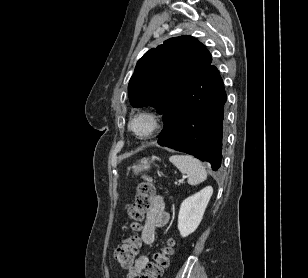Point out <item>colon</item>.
Wrapping results in <instances>:
<instances>
[{
  "label": "colon",
  "instance_id": "colon-1",
  "mask_svg": "<svg viewBox=\"0 0 308 278\" xmlns=\"http://www.w3.org/2000/svg\"><path fill=\"white\" fill-rule=\"evenodd\" d=\"M155 195L154 185L149 177L144 176L137 188L134 204L128 210L130 218V228L136 232L139 230V222L145 213L150 210ZM174 242L168 239L160 252L154 256V261L149 263L140 276L141 278H161L164 270L169 265L170 256L173 253ZM140 240L136 234H132L124 239L123 243L115 250L114 259L122 268H131L134 264Z\"/></svg>",
  "mask_w": 308,
  "mask_h": 278
}]
</instances>
